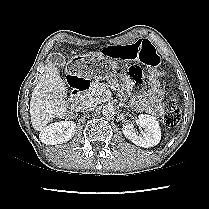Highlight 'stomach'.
<instances>
[{
  "label": "stomach",
  "instance_id": "obj_1",
  "mask_svg": "<svg viewBox=\"0 0 209 209\" xmlns=\"http://www.w3.org/2000/svg\"><path fill=\"white\" fill-rule=\"evenodd\" d=\"M66 70L73 77L81 75L90 80H96L114 75L117 64L103 53H87L70 59Z\"/></svg>",
  "mask_w": 209,
  "mask_h": 209
}]
</instances>
